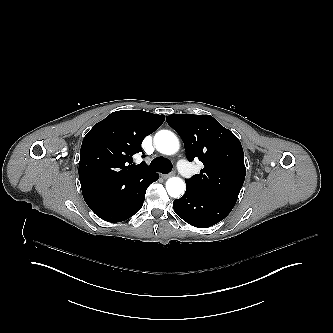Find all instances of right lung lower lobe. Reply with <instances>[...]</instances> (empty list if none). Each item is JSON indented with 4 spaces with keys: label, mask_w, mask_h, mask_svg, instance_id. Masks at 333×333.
<instances>
[{
    "label": "right lung lower lobe",
    "mask_w": 333,
    "mask_h": 333,
    "mask_svg": "<svg viewBox=\"0 0 333 333\" xmlns=\"http://www.w3.org/2000/svg\"><path fill=\"white\" fill-rule=\"evenodd\" d=\"M158 178L156 172L148 170L123 182L93 185L82 193L98 217L108 222H121L141 209L146 189Z\"/></svg>",
    "instance_id": "1"
}]
</instances>
